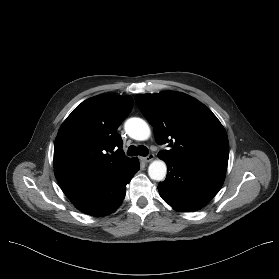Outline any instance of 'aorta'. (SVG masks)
<instances>
[{
  "label": "aorta",
  "mask_w": 279,
  "mask_h": 279,
  "mask_svg": "<svg viewBox=\"0 0 279 279\" xmlns=\"http://www.w3.org/2000/svg\"><path fill=\"white\" fill-rule=\"evenodd\" d=\"M124 128L129 137L138 141L147 140L151 135L147 122L138 117L129 118L125 122ZM166 174L167 167L162 160H154L148 167V175L152 180L163 181Z\"/></svg>",
  "instance_id": "1"
}]
</instances>
